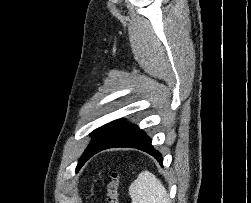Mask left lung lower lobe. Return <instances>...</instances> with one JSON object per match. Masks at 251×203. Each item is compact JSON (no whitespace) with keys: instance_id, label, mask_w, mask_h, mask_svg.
Listing matches in <instances>:
<instances>
[{"instance_id":"0a47b994","label":"left lung lower lobe","mask_w":251,"mask_h":203,"mask_svg":"<svg viewBox=\"0 0 251 203\" xmlns=\"http://www.w3.org/2000/svg\"><path fill=\"white\" fill-rule=\"evenodd\" d=\"M117 147H130L142 150L150 155H152L161 165L163 163V158L159 151L155 150L151 145V139L146 135L145 132L139 129L136 125H129L125 130L117 134L107 143L101 145L99 148L94 150L85 160V163L89 158H91L96 153L108 149ZM82 163V164H83ZM81 168V167H80ZM76 169L77 171L80 169Z\"/></svg>"}]
</instances>
